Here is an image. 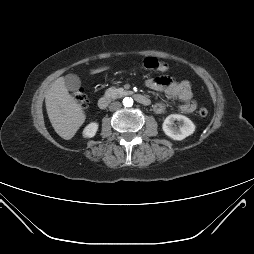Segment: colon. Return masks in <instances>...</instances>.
Here are the masks:
<instances>
[{"label": "colon", "mask_w": 254, "mask_h": 254, "mask_svg": "<svg viewBox=\"0 0 254 254\" xmlns=\"http://www.w3.org/2000/svg\"><path fill=\"white\" fill-rule=\"evenodd\" d=\"M142 66L145 69L159 71V72H165L168 69V66L165 62H163L155 57L145 58L142 61ZM74 96H75L76 101L78 102V104L81 107L86 108L89 106V99H88L87 95L82 90L76 91ZM198 114L201 117H206L208 115L207 108H205V107L199 108Z\"/></svg>", "instance_id": "colon-1"}]
</instances>
